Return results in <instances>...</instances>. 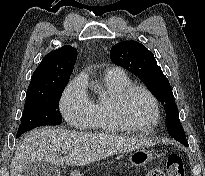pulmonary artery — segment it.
I'll use <instances>...</instances> for the list:
<instances>
[{
	"label": "pulmonary artery",
	"mask_w": 205,
	"mask_h": 176,
	"mask_svg": "<svg viewBox=\"0 0 205 176\" xmlns=\"http://www.w3.org/2000/svg\"><path fill=\"white\" fill-rule=\"evenodd\" d=\"M107 72L120 73V72H122V70L119 67H110V68H108Z\"/></svg>",
	"instance_id": "e3ab8cb5"
}]
</instances>
